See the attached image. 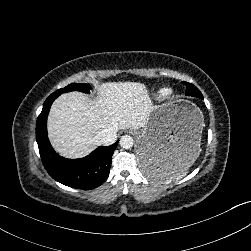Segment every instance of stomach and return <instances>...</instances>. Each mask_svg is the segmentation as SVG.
Listing matches in <instances>:
<instances>
[{"label": "stomach", "instance_id": "1", "mask_svg": "<svg viewBox=\"0 0 251 251\" xmlns=\"http://www.w3.org/2000/svg\"><path fill=\"white\" fill-rule=\"evenodd\" d=\"M204 115L192 101L153 105L135 132L141 171L161 182H176L198 166Z\"/></svg>", "mask_w": 251, "mask_h": 251}]
</instances>
